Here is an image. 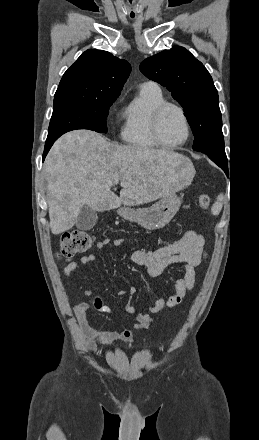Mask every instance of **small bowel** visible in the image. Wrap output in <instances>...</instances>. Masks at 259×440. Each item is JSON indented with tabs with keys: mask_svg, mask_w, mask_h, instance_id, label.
Here are the masks:
<instances>
[{
	"mask_svg": "<svg viewBox=\"0 0 259 440\" xmlns=\"http://www.w3.org/2000/svg\"><path fill=\"white\" fill-rule=\"evenodd\" d=\"M125 239H110L105 238L96 243L98 250L102 249L108 244L114 246L121 245ZM204 238L193 230H186L180 239L177 241L161 247L157 250L147 251L143 249L135 250L131 255V260L145 269L146 273L152 277L160 276L168 267L175 264L183 265L182 275L173 281L175 287V294L169 299L159 297L151 306L145 311L137 308L132 303L131 299L125 306V311L136 319V324L133 330H124L121 332L115 331H99L89 326L87 321V313L89 306H92L96 311L101 313H110L111 309L106 305L101 298L96 297L89 300L88 304H80L75 307V313L78 319L80 329L82 331L85 347L91 351L101 354L102 351L97 348L96 340L108 343L114 342H133L135 338V331L146 329L153 321L152 314H157L165 309L173 308L179 305L185 298L187 293L191 291L195 285L196 267L206 260V251L204 247ZM96 256L88 254L80 258L78 262L67 259L66 265L62 268V273L67 276L75 271L79 265L90 264L95 262ZM172 281L166 279L165 283L170 284ZM136 293L134 287L126 290L118 291L119 296L132 297ZM85 294L91 297V291L86 290Z\"/></svg>",
	"mask_w": 259,
	"mask_h": 440,
	"instance_id": "small-bowel-1",
	"label": "small bowel"
}]
</instances>
